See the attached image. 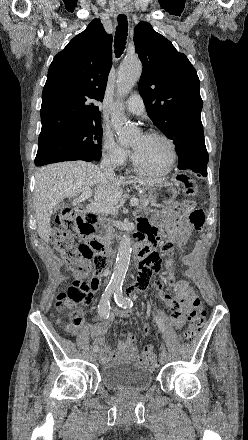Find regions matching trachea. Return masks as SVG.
<instances>
[{
  "instance_id": "1",
  "label": "trachea",
  "mask_w": 248,
  "mask_h": 440,
  "mask_svg": "<svg viewBox=\"0 0 248 440\" xmlns=\"http://www.w3.org/2000/svg\"><path fill=\"white\" fill-rule=\"evenodd\" d=\"M128 32V21L127 17L124 14H120L118 16V26L116 27V34L114 40V48L116 57L121 56L125 49L126 39Z\"/></svg>"
}]
</instances>
